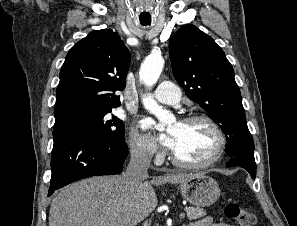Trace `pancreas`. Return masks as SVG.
<instances>
[{"mask_svg": "<svg viewBox=\"0 0 297 226\" xmlns=\"http://www.w3.org/2000/svg\"><path fill=\"white\" fill-rule=\"evenodd\" d=\"M185 211L189 220H196L206 215V211L200 207H186Z\"/></svg>", "mask_w": 297, "mask_h": 226, "instance_id": "pancreas-1", "label": "pancreas"}]
</instances>
